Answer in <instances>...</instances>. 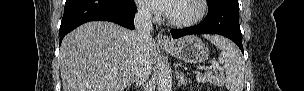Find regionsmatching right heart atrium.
Listing matches in <instances>:
<instances>
[{
    "mask_svg": "<svg viewBox=\"0 0 304 91\" xmlns=\"http://www.w3.org/2000/svg\"><path fill=\"white\" fill-rule=\"evenodd\" d=\"M141 13H142V15H144L146 17H149L151 15L150 10H148V9H142Z\"/></svg>",
    "mask_w": 304,
    "mask_h": 91,
    "instance_id": "obj_1",
    "label": "right heart atrium"
}]
</instances>
